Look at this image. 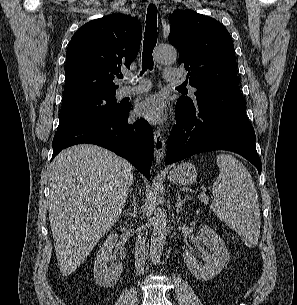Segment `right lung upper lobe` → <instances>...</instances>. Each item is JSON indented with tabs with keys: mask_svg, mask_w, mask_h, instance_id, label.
<instances>
[{
	"mask_svg": "<svg viewBox=\"0 0 297 305\" xmlns=\"http://www.w3.org/2000/svg\"><path fill=\"white\" fill-rule=\"evenodd\" d=\"M141 38L140 21L129 15L105 16L79 28L67 48L63 101L116 91L113 80L122 67L130 68Z\"/></svg>",
	"mask_w": 297,
	"mask_h": 305,
	"instance_id": "cb5924a9",
	"label": "right lung upper lobe"
}]
</instances>
